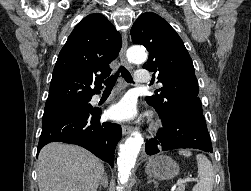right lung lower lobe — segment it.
I'll return each mask as SVG.
<instances>
[{
  "label": "right lung lower lobe",
  "instance_id": "1",
  "mask_svg": "<svg viewBox=\"0 0 251 191\" xmlns=\"http://www.w3.org/2000/svg\"><path fill=\"white\" fill-rule=\"evenodd\" d=\"M100 115V110L94 108L91 112L69 113L43 122L37 156L46 144L64 142L86 148L113 167L122 129L118 124L100 123Z\"/></svg>",
  "mask_w": 251,
  "mask_h": 191
}]
</instances>
